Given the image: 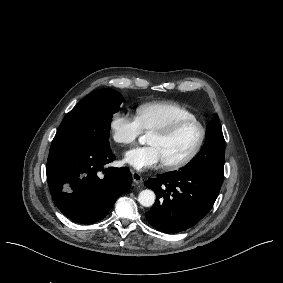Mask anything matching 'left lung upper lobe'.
Returning a JSON list of instances; mask_svg holds the SVG:
<instances>
[{"mask_svg":"<svg viewBox=\"0 0 283 283\" xmlns=\"http://www.w3.org/2000/svg\"><path fill=\"white\" fill-rule=\"evenodd\" d=\"M210 155H213L215 157L213 162L218 164L217 170L214 174L215 180L222 183L224 176L223 166L225 155V141L221 129L220 120L217 114H214L213 118L206 127V140L204 146L186 166L198 169L197 163H201L202 160L206 159Z\"/></svg>","mask_w":283,"mask_h":283,"instance_id":"obj_1","label":"left lung upper lobe"}]
</instances>
